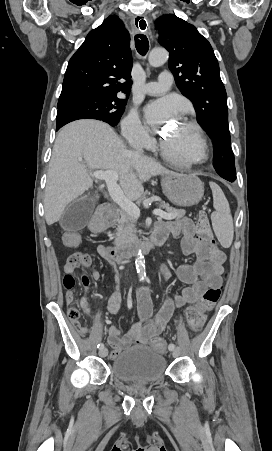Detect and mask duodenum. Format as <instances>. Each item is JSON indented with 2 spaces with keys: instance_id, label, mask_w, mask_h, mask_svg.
<instances>
[{
  "instance_id": "1",
  "label": "duodenum",
  "mask_w": 272,
  "mask_h": 451,
  "mask_svg": "<svg viewBox=\"0 0 272 451\" xmlns=\"http://www.w3.org/2000/svg\"><path fill=\"white\" fill-rule=\"evenodd\" d=\"M117 219V208L112 204H105L91 221L90 228L94 233H100L115 223ZM162 243L163 240L161 238L153 236L149 241L143 243H133L130 245L102 249V254L113 260H123L137 255L140 251H150L155 247L160 246Z\"/></svg>"
}]
</instances>
